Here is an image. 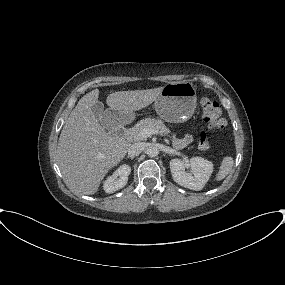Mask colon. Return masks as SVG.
Here are the masks:
<instances>
[{
    "label": "colon",
    "instance_id": "5ec220e1",
    "mask_svg": "<svg viewBox=\"0 0 285 285\" xmlns=\"http://www.w3.org/2000/svg\"><path fill=\"white\" fill-rule=\"evenodd\" d=\"M200 107L202 117L210 129H221L226 125V121L221 116L220 105L216 100L209 97H203L200 99ZM198 146L203 151L210 148L206 131L200 133Z\"/></svg>",
    "mask_w": 285,
    "mask_h": 285
}]
</instances>
